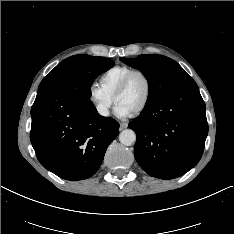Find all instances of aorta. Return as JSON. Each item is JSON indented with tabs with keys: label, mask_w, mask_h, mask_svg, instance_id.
Wrapping results in <instances>:
<instances>
[{
	"label": "aorta",
	"mask_w": 234,
	"mask_h": 234,
	"mask_svg": "<svg viewBox=\"0 0 234 234\" xmlns=\"http://www.w3.org/2000/svg\"><path fill=\"white\" fill-rule=\"evenodd\" d=\"M136 140V134L131 129H125L119 134V141L125 146H131Z\"/></svg>",
	"instance_id": "1"
}]
</instances>
